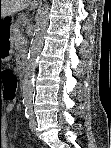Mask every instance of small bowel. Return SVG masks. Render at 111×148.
<instances>
[{
  "label": "small bowel",
  "mask_w": 111,
  "mask_h": 148,
  "mask_svg": "<svg viewBox=\"0 0 111 148\" xmlns=\"http://www.w3.org/2000/svg\"><path fill=\"white\" fill-rule=\"evenodd\" d=\"M13 109H14V104H9V105L7 106V111H8V112L13 111Z\"/></svg>",
  "instance_id": "small-bowel-1"
}]
</instances>
